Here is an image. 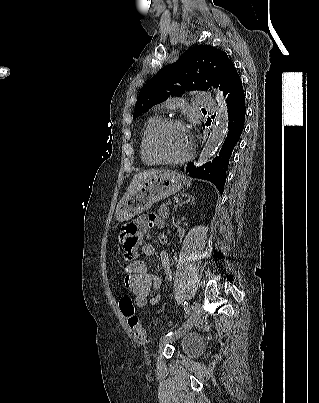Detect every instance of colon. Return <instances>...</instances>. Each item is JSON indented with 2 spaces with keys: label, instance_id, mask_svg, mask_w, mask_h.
Listing matches in <instances>:
<instances>
[{
  "label": "colon",
  "instance_id": "5ec220e1",
  "mask_svg": "<svg viewBox=\"0 0 319 403\" xmlns=\"http://www.w3.org/2000/svg\"><path fill=\"white\" fill-rule=\"evenodd\" d=\"M132 251L135 252V261L129 263L125 260V267L122 271L123 276H126L125 284L130 296H118L116 301L122 313V325H129V332L135 341L146 342L148 336L145 329L139 324V316L135 309H148V300H151L152 297V284L155 282V277L148 275L144 258H137L138 250Z\"/></svg>",
  "mask_w": 319,
  "mask_h": 403
}]
</instances>
